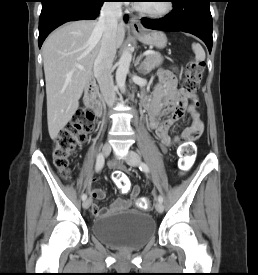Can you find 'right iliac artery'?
<instances>
[{
  "label": "right iliac artery",
  "instance_id": "82829eb1",
  "mask_svg": "<svg viewBox=\"0 0 258 275\" xmlns=\"http://www.w3.org/2000/svg\"><path fill=\"white\" fill-rule=\"evenodd\" d=\"M103 166H104V157L102 154H99L96 160V166H95L96 172H99L103 168ZM86 198H87V195L83 194L82 200H86Z\"/></svg>",
  "mask_w": 258,
  "mask_h": 275
}]
</instances>
